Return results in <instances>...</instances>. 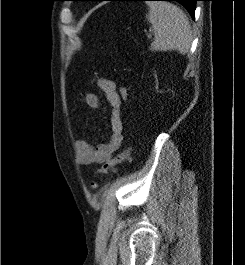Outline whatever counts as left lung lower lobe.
I'll list each match as a JSON object with an SVG mask.
<instances>
[{
    "label": "left lung lower lobe",
    "mask_w": 245,
    "mask_h": 265,
    "mask_svg": "<svg viewBox=\"0 0 245 265\" xmlns=\"http://www.w3.org/2000/svg\"><path fill=\"white\" fill-rule=\"evenodd\" d=\"M85 1H149V0H85ZM164 1H177L181 3L191 14L192 18H194L195 13V3L199 0H164Z\"/></svg>",
    "instance_id": "obj_1"
}]
</instances>
